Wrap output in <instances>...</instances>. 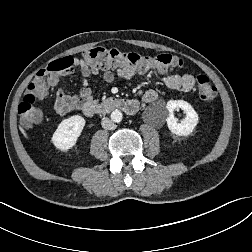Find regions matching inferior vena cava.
I'll use <instances>...</instances> for the list:
<instances>
[{
  "label": "inferior vena cava",
  "instance_id": "1",
  "mask_svg": "<svg viewBox=\"0 0 252 252\" xmlns=\"http://www.w3.org/2000/svg\"><path fill=\"white\" fill-rule=\"evenodd\" d=\"M101 125L106 130H114L116 128L114 122L107 117L102 119Z\"/></svg>",
  "mask_w": 252,
  "mask_h": 252
}]
</instances>
